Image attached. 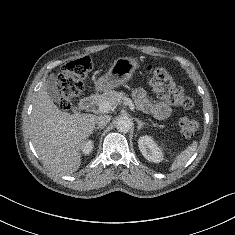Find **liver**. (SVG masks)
I'll use <instances>...</instances> for the list:
<instances>
[{"label": "liver", "mask_w": 235, "mask_h": 235, "mask_svg": "<svg viewBox=\"0 0 235 235\" xmlns=\"http://www.w3.org/2000/svg\"><path fill=\"white\" fill-rule=\"evenodd\" d=\"M97 116L61 111L47 92L39 90L30 118L31 140L40 159L51 170L72 174L81 165V148L95 128Z\"/></svg>", "instance_id": "6515ba94"}]
</instances>
